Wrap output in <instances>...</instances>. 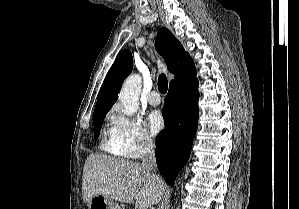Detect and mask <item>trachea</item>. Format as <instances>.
Returning a JSON list of instances; mask_svg holds the SVG:
<instances>
[{
  "label": "trachea",
  "instance_id": "trachea-1",
  "mask_svg": "<svg viewBox=\"0 0 299 209\" xmlns=\"http://www.w3.org/2000/svg\"><path fill=\"white\" fill-rule=\"evenodd\" d=\"M168 89V80L164 74H160L158 78V90L160 93L165 94Z\"/></svg>",
  "mask_w": 299,
  "mask_h": 209
}]
</instances>
